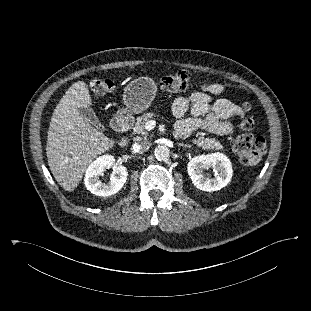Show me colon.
Listing matches in <instances>:
<instances>
[{"instance_id":"1","label":"colon","mask_w":311,"mask_h":311,"mask_svg":"<svg viewBox=\"0 0 311 311\" xmlns=\"http://www.w3.org/2000/svg\"><path fill=\"white\" fill-rule=\"evenodd\" d=\"M192 82L189 72L180 71L164 76L159 81L162 90L178 92L186 90ZM92 92L96 96H104L114 90V83L110 79H93L89 83ZM241 119L238 123L240 133L233 140L232 147L245 165L258 164L266 152V140L253 134L254 120L247 114L251 110V104L244 101L241 106Z\"/></svg>"}]
</instances>
